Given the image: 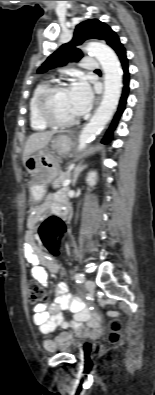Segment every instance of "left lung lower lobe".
Returning a JSON list of instances; mask_svg holds the SVG:
<instances>
[{
	"mask_svg": "<svg viewBox=\"0 0 155 395\" xmlns=\"http://www.w3.org/2000/svg\"><path fill=\"white\" fill-rule=\"evenodd\" d=\"M119 60L121 63V67H122V71H123V90H122V96L120 98V102H119V106H118V110L114 116V119L112 121V124L110 126V128L107 131V134L105 135V137L103 138L102 142L103 143H108L111 140V135L113 130L115 129L118 119L119 117L122 115L124 109H125V105L127 102V97L129 94V81H130V73L128 70V59L126 56V53H122L119 56Z\"/></svg>",
	"mask_w": 155,
	"mask_h": 395,
	"instance_id": "0a47b994",
	"label": "left lung lower lobe"
}]
</instances>
